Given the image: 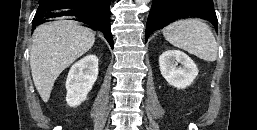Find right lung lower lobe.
<instances>
[{
    "mask_svg": "<svg viewBox=\"0 0 257 130\" xmlns=\"http://www.w3.org/2000/svg\"><path fill=\"white\" fill-rule=\"evenodd\" d=\"M111 0H41L32 21V29L48 22L49 18L74 16L73 20L85 23L87 27L100 31L113 48V37L110 29Z\"/></svg>",
    "mask_w": 257,
    "mask_h": 130,
    "instance_id": "right-lung-lower-lobe-1",
    "label": "right lung lower lobe"
}]
</instances>
